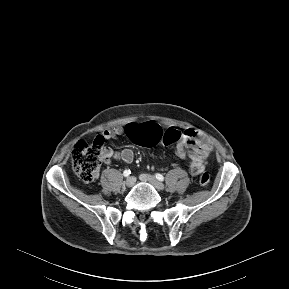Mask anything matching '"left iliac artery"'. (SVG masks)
<instances>
[{
  "mask_svg": "<svg viewBox=\"0 0 289 289\" xmlns=\"http://www.w3.org/2000/svg\"><path fill=\"white\" fill-rule=\"evenodd\" d=\"M155 177H156L159 181H164V177H163V175L160 174V173L155 174Z\"/></svg>",
  "mask_w": 289,
  "mask_h": 289,
  "instance_id": "obj_1",
  "label": "left iliac artery"
}]
</instances>
